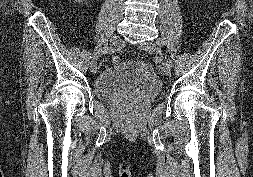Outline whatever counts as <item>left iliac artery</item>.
Returning a JSON list of instances; mask_svg holds the SVG:
<instances>
[{"mask_svg": "<svg viewBox=\"0 0 253 177\" xmlns=\"http://www.w3.org/2000/svg\"><path fill=\"white\" fill-rule=\"evenodd\" d=\"M157 44L158 45H163L164 41L157 40ZM157 56H159V58L157 59L158 63L166 64L167 66L171 65V60L170 59H162V56H164V53H157Z\"/></svg>", "mask_w": 253, "mask_h": 177, "instance_id": "left-iliac-artery-1", "label": "left iliac artery"}]
</instances>
